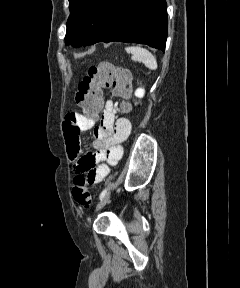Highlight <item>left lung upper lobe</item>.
Listing matches in <instances>:
<instances>
[{"label": "left lung upper lobe", "mask_w": 240, "mask_h": 288, "mask_svg": "<svg viewBox=\"0 0 240 288\" xmlns=\"http://www.w3.org/2000/svg\"><path fill=\"white\" fill-rule=\"evenodd\" d=\"M109 0H69L65 43L75 47L84 45L100 22Z\"/></svg>", "instance_id": "left-lung-upper-lobe-1"}]
</instances>
